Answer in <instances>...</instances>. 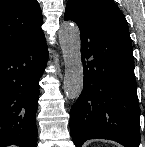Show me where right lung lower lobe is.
Returning <instances> with one entry per match:
<instances>
[{
  "label": "right lung lower lobe",
  "mask_w": 145,
  "mask_h": 147,
  "mask_svg": "<svg viewBox=\"0 0 145 147\" xmlns=\"http://www.w3.org/2000/svg\"><path fill=\"white\" fill-rule=\"evenodd\" d=\"M44 33L0 52V147H35L38 81L46 67Z\"/></svg>",
  "instance_id": "1"
}]
</instances>
